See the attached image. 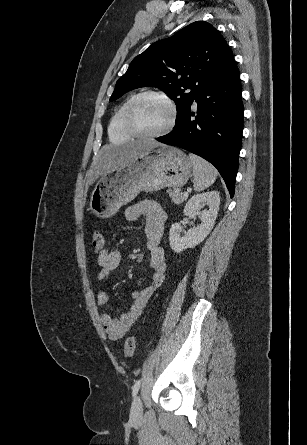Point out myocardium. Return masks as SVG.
<instances>
[{
	"mask_svg": "<svg viewBox=\"0 0 307 445\" xmlns=\"http://www.w3.org/2000/svg\"><path fill=\"white\" fill-rule=\"evenodd\" d=\"M155 97L162 100L170 110V118L167 124L158 132L150 133L142 130L136 121V110L138 105L145 99ZM178 116L177 107L174 101L165 93L148 90L137 95L130 102L127 110V125L130 132L138 139H162L174 128Z\"/></svg>",
	"mask_w": 307,
	"mask_h": 445,
	"instance_id": "f54148a6",
	"label": "myocardium"
}]
</instances>
